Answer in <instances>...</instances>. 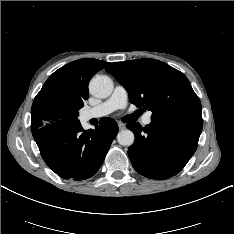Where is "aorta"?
Listing matches in <instances>:
<instances>
[{"label":"aorta","instance_id":"aorta-1","mask_svg":"<svg viewBox=\"0 0 234 234\" xmlns=\"http://www.w3.org/2000/svg\"><path fill=\"white\" fill-rule=\"evenodd\" d=\"M89 89L93 96L106 98L113 91V82L107 76L98 75L90 81ZM117 141L122 146H131L134 143V134L128 129L122 130L117 135Z\"/></svg>","mask_w":234,"mask_h":234}]
</instances>
